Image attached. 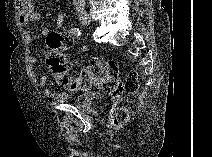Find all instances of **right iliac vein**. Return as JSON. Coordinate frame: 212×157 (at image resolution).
<instances>
[{"mask_svg": "<svg viewBox=\"0 0 212 157\" xmlns=\"http://www.w3.org/2000/svg\"><path fill=\"white\" fill-rule=\"evenodd\" d=\"M78 19L80 20V22L84 25H90L91 23V19L90 17L88 16L87 13L85 12H82L78 15Z\"/></svg>", "mask_w": 212, "mask_h": 157, "instance_id": "right-iliac-vein-1", "label": "right iliac vein"}]
</instances>
